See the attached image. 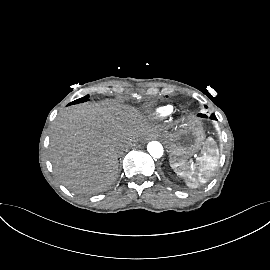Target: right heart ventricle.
Wrapping results in <instances>:
<instances>
[{
    "label": "right heart ventricle",
    "mask_w": 270,
    "mask_h": 270,
    "mask_svg": "<svg viewBox=\"0 0 270 270\" xmlns=\"http://www.w3.org/2000/svg\"><path fill=\"white\" fill-rule=\"evenodd\" d=\"M172 111L173 108L170 105L160 106L156 108V110L154 111V115L158 118H165L169 116L172 113Z\"/></svg>",
    "instance_id": "1"
}]
</instances>
